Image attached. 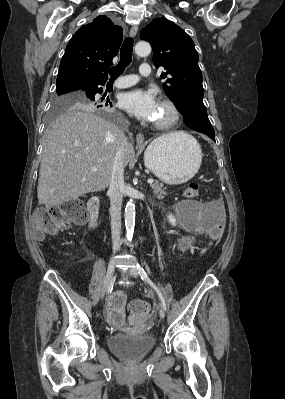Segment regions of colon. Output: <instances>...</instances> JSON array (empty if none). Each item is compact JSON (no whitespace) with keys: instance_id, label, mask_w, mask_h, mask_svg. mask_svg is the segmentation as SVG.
Instances as JSON below:
<instances>
[{"instance_id":"1","label":"colon","mask_w":285,"mask_h":399,"mask_svg":"<svg viewBox=\"0 0 285 399\" xmlns=\"http://www.w3.org/2000/svg\"><path fill=\"white\" fill-rule=\"evenodd\" d=\"M183 195L187 198H196L199 195L197 183L188 184ZM87 212L79 199H69L59 205L38 208L31 217L32 229L39 235H52L58 231L66 230L72 223H81L86 220ZM221 233L216 230L211 235L209 246L218 243ZM133 316L141 319L149 314L148 305L141 299H135L130 305Z\"/></svg>"}]
</instances>
